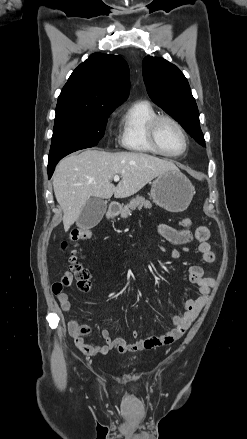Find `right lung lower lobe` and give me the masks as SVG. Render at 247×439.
<instances>
[{
  "label": "right lung lower lobe",
  "instance_id": "right-lung-lower-lobe-1",
  "mask_svg": "<svg viewBox=\"0 0 247 439\" xmlns=\"http://www.w3.org/2000/svg\"><path fill=\"white\" fill-rule=\"evenodd\" d=\"M55 166H56V164L48 167V177H49V179L51 178V176H52V174L54 172Z\"/></svg>",
  "mask_w": 247,
  "mask_h": 439
}]
</instances>
